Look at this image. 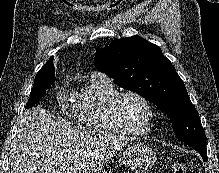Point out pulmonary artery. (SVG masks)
Wrapping results in <instances>:
<instances>
[{
	"instance_id": "e3ab8cb5",
	"label": "pulmonary artery",
	"mask_w": 219,
	"mask_h": 173,
	"mask_svg": "<svg viewBox=\"0 0 219 173\" xmlns=\"http://www.w3.org/2000/svg\"><path fill=\"white\" fill-rule=\"evenodd\" d=\"M91 78H103V79H108L104 74L99 73V72H92V73H91Z\"/></svg>"
}]
</instances>
